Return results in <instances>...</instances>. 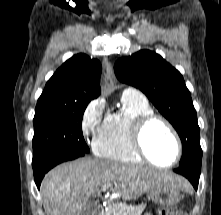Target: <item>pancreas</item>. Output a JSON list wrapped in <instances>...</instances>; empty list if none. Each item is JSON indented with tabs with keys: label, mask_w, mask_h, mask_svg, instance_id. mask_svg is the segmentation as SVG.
Listing matches in <instances>:
<instances>
[{
	"label": "pancreas",
	"mask_w": 221,
	"mask_h": 215,
	"mask_svg": "<svg viewBox=\"0 0 221 215\" xmlns=\"http://www.w3.org/2000/svg\"><path fill=\"white\" fill-rule=\"evenodd\" d=\"M144 208V204L131 206L117 203L109 206L103 215H141Z\"/></svg>",
	"instance_id": "obj_1"
}]
</instances>
